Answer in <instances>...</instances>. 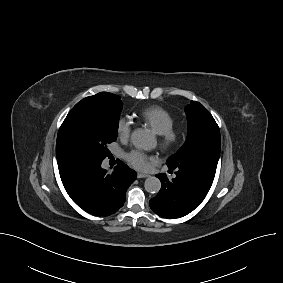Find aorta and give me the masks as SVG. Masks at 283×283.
Here are the masks:
<instances>
[{"mask_svg": "<svg viewBox=\"0 0 283 283\" xmlns=\"http://www.w3.org/2000/svg\"><path fill=\"white\" fill-rule=\"evenodd\" d=\"M131 142L136 148L151 150L155 146V138L144 129H136L131 134ZM145 190L149 193H158L161 189V182L157 177L150 176L145 180Z\"/></svg>", "mask_w": 283, "mask_h": 283, "instance_id": "obj_1", "label": "aorta"}]
</instances>
